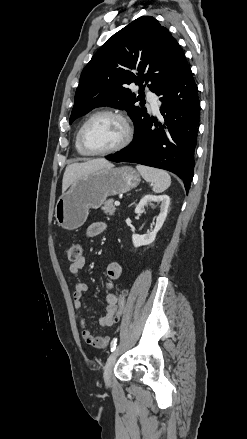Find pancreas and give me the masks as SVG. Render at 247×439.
Here are the masks:
<instances>
[{
  "instance_id": "1",
  "label": "pancreas",
  "mask_w": 247,
  "mask_h": 439,
  "mask_svg": "<svg viewBox=\"0 0 247 439\" xmlns=\"http://www.w3.org/2000/svg\"><path fill=\"white\" fill-rule=\"evenodd\" d=\"M102 210H103L104 213L107 214V215H110V216L114 215V214H115V211H116V208H115V206L113 205V199H109V200H107V201L104 203V205L102 206Z\"/></svg>"
}]
</instances>
